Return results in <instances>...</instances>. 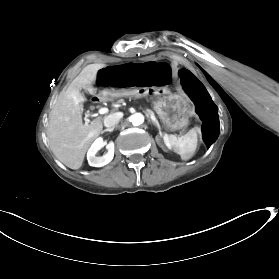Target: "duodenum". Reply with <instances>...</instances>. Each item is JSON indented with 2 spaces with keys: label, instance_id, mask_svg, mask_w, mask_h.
<instances>
[{
  "label": "duodenum",
  "instance_id": "duodenum-1",
  "mask_svg": "<svg viewBox=\"0 0 279 279\" xmlns=\"http://www.w3.org/2000/svg\"><path fill=\"white\" fill-rule=\"evenodd\" d=\"M150 94V91L148 89H142L137 92H131V91H124V92H102L99 96L93 95L89 99V104L93 108H98L101 106L102 101L108 100V99H122L124 98H131L137 99L138 97L140 99H144Z\"/></svg>",
  "mask_w": 279,
  "mask_h": 279
}]
</instances>
